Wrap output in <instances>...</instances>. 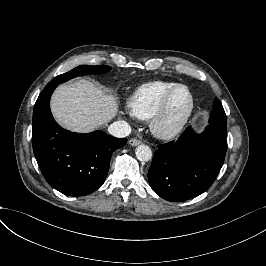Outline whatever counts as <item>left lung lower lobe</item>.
Returning <instances> with one entry per match:
<instances>
[{
	"label": "left lung lower lobe",
	"mask_w": 266,
	"mask_h": 266,
	"mask_svg": "<svg viewBox=\"0 0 266 266\" xmlns=\"http://www.w3.org/2000/svg\"><path fill=\"white\" fill-rule=\"evenodd\" d=\"M226 137L227 128L209 125L199 135L188 127L177 141L158 145L148 170L151 188L170 202L205 192L223 165Z\"/></svg>",
	"instance_id": "obj_1"
}]
</instances>
